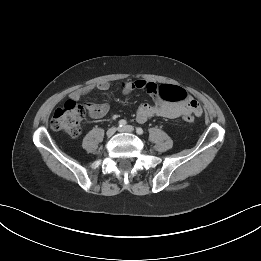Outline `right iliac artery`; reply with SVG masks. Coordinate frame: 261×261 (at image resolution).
<instances>
[{
  "label": "right iliac artery",
  "instance_id": "right-iliac-artery-1",
  "mask_svg": "<svg viewBox=\"0 0 261 261\" xmlns=\"http://www.w3.org/2000/svg\"><path fill=\"white\" fill-rule=\"evenodd\" d=\"M118 124L120 127H124L127 124V122H126V120L122 119L118 122Z\"/></svg>",
  "mask_w": 261,
  "mask_h": 261
}]
</instances>
